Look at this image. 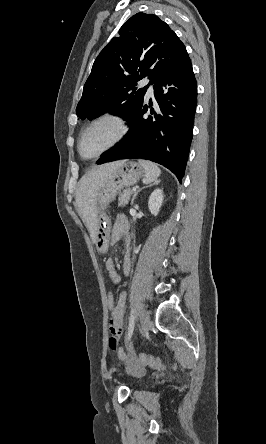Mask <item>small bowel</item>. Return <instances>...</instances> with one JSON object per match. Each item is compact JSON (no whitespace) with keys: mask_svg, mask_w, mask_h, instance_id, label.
<instances>
[{"mask_svg":"<svg viewBox=\"0 0 266 444\" xmlns=\"http://www.w3.org/2000/svg\"><path fill=\"white\" fill-rule=\"evenodd\" d=\"M128 234V221L124 215H118L115 218L113 230L110 237V242L112 244L117 243L123 236ZM131 257L129 252H127L124 262L123 271L125 274H129L131 270ZM105 268L109 274L111 281L114 284H118L121 281L120 275L117 273L115 268V263L112 259H107L105 262ZM127 302V293L121 292L118 297L117 305L114 310L111 311L110 321H109V347L118 355H122V351L119 348V339L124 331V313ZM134 373H139L133 370Z\"/></svg>","mask_w":266,"mask_h":444,"instance_id":"small-bowel-1","label":"small bowel"}]
</instances>
